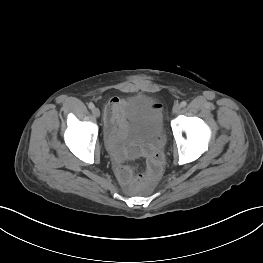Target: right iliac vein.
<instances>
[{"label":"right iliac vein","mask_w":263,"mask_h":263,"mask_svg":"<svg viewBox=\"0 0 263 263\" xmlns=\"http://www.w3.org/2000/svg\"><path fill=\"white\" fill-rule=\"evenodd\" d=\"M92 113L97 118L100 116V110L98 108H93Z\"/></svg>","instance_id":"right-iliac-vein-1"}]
</instances>
